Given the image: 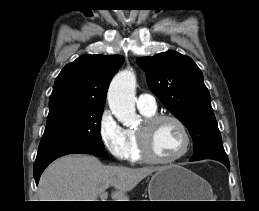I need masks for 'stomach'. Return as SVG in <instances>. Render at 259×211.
Masks as SVG:
<instances>
[{"mask_svg": "<svg viewBox=\"0 0 259 211\" xmlns=\"http://www.w3.org/2000/svg\"><path fill=\"white\" fill-rule=\"evenodd\" d=\"M150 201H208L212 190L207 182L179 165L158 170L148 185Z\"/></svg>", "mask_w": 259, "mask_h": 211, "instance_id": "0dacf381", "label": "stomach"}]
</instances>
